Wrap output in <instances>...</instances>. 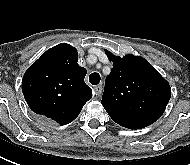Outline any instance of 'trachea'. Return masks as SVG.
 I'll use <instances>...</instances> for the list:
<instances>
[{"mask_svg":"<svg viewBox=\"0 0 190 165\" xmlns=\"http://www.w3.org/2000/svg\"><path fill=\"white\" fill-rule=\"evenodd\" d=\"M101 80V77L99 75V73L97 72H94L92 74H90L89 76V82L92 84V85H97Z\"/></svg>","mask_w":190,"mask_h":165,"instance_id":"trachea-1","label":"trachea"}]
</instances>
